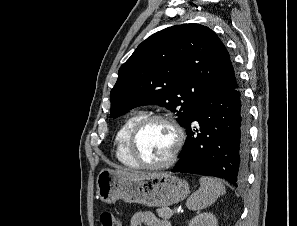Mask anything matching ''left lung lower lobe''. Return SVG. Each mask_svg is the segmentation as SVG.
Wrapping results in <instances>:
<instances>
[{"instance_id": "1", "label": "left lung lower lobe", "mask_w": 297, "mask_h": 226, "mask_svg": "<svg viewBox=\"0 0 297 226\" xmlns=\"http://www.w3.org/2000/svg\"><path fill=\"white\" fill-rule=\"evenodd\" d=\"M248 118L239 85L207 90L184 126L187 139L171 172L215 176L235 187L242 185L249 161Z\"/></svg>"}]
</instances>
